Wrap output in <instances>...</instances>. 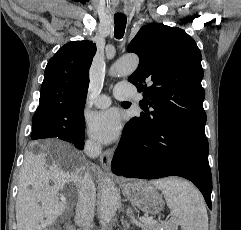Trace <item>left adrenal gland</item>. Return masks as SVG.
<instances>
[{
	"instance_id": "a2214340",
	"label": "left adrenal gland",
	"mask_w": 241,
	"mask_h": 230,
	"mask_svg": "<svg viewBox=\"0 0 241 230\" xmlns=\"http://www.w3.org/2000/svg\"><path fill=\"white\" fill-rule=\"evenodd\" d=\"M127 215H128V217L130 218V221H131L133 224H136V220H135V218L133 217V210H132L130 207L127 208Z\"/></svg>"
}]
</instances>
